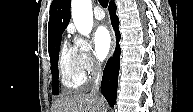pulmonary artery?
<instances>
[{
  "mask_svg": "<svg viewBox=\"0 0 193 112\" xmlns=\"http://www.w3.org/2000/svg\"><path fill=\"white\" fill-rule=\"evenodd\" d=\"M93 14H94L95 19L97 20H102L105 17V13L103 9L99 6L94 8Z\"/></svg>",
  "mask_w": 193,
  "mask_h": 112,
  "instance_id": "e3ab8cb5",
  "label": "pulmonary artery"
}]
</instances>
